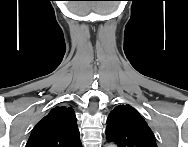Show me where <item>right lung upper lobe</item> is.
I'll return each mask as SVG.
<instances>
[{"label": "right lung upper lobe", "mask_w": 188, "mask_h": 147, "mask_svg": "<svg viewBox=\"0 0 188 147\" xmlns=\"http://www.w3.org/2000/svg\"><path fill=\"white\" fill-rule=\"evenodd\" d=\"M27 147H81L76 116L71 107L57 106L34 127Z\"/></svg>", "instance_id": "1"}]
</instances>
